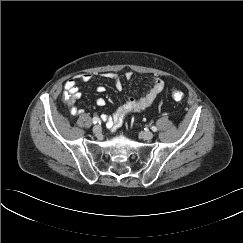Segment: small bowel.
I'll return each mask as SVG.
<instances>
[{
	"label": "small bowel",
	"instance_id": "obj_1",
	"mask_svg": "<svg viewBox=\"0 0 243 243\" xmlns=\"http://www.w3.org/2000/svg\"><path fill=\"white\" fill-rule=\"evenodd\" d=\"M104 76L113 80L114 86L117 90H122L123 84L121 79L112 73H105ZM127 78L131 77V73L126 74ZM92 79V75L89 73H82L76 77H73L67 80L64 84V89L68 96L70 97V101L72 104L75 103L81 97L80 88L78 87V81L81 82H89ZM165 88V82L159 77H153L148 85V89L145 94L140 98L128 97L124 101V103L115 111V113L108 120V127L113 131H116L123 123L125 118L133 112H141L148 107H150L158 94ZM96 91L98 93H103L105 91V87L100 85L96 87ZM98 106H104L105 100L103 98H99L97 100ZM72 111L75 114H81L83 112L82 109H77L72 107Z\"/></svg>",
	"mask_w": 243,
	"mask_h": 243
}]
</instances>
